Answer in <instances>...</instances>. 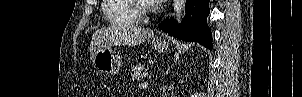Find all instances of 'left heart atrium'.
Listing matches in <instances>:
<instances>
[{
  "label": "left heart atrium",
  "mask_w": 302,
  "mask_h": 97,
  "mask_svg": "<svg viewBox=\"0 0 302 97\" xmlns=\"http://www.w3.org/2000/svg\"><path fill=\"white\" fill-rule=\"evenodd\" d=\"M146 2H147V3H149V4L154 5V4H158V3H160V2H161V0H146Z\"/></svg>",
  "instance_id": "1"
}]
</instances>
